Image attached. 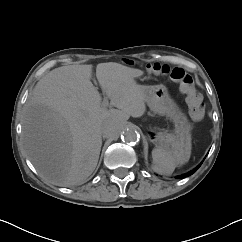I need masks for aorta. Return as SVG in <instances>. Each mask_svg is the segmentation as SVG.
I'll list each match as a JSON object with an SVG mask.
<instances>
[{
	"label": "aorta",
	"instance_id": "aorta-1",
	"mask_svg": "<svg viewBox=\"0 0 242 242\" xmlns=\"http://www.w3.org/2000/svg\"><path fill=\"white\" fill-rule=\"evenodd\" d=\"M140 134L135 128H127L122 134V139L126 142L135 143L139 141Z\"/></svg>",
	"mask_w": 242,
	"mask_h": 242
}]
</instances>
